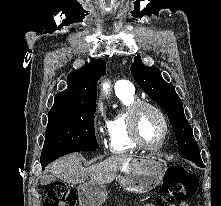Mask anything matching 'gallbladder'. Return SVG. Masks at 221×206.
Returning a JSON list of instances; mask_svg holds the SVG:
<instances>
[{
    "label": "gallbladder",
    "mask_w": 221,
    "mask_h": 206,
    "mask_svg": "<svg viewBox=\"0 0 221 206\" xmlns=\"http://www.w3.org/2000/svg\"><path fill=\"white\" fill-rule=\"evenodd\" d=\"M44 177H45V176H44ZM48 181H52V179H48ZM43 185H44V186H47V185H48V182H47V181H44V182H43Z\"/></svg>",
    "instance_id": "bac80fb5"
}]
</instances>
